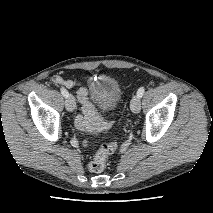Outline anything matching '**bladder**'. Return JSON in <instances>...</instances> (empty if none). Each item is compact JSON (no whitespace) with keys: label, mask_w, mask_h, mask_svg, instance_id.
I'll return each mask as SVG.
<instances>
[{"label":"bladder","mask_w":213,"mask_h":213,"mask_svg":"<svg viewBox=\"0 0 213 213\" xmlns=\"http://www.w3.org/2000/svg\"><path fill=\"white\" fill-rule=\"evenodd\" d=\"M88 87L92 100L103 109L113 108L121 100L120 84L109 75L101 74L90 78Z\"/></svg>","instance_id":"obj_1"}]
</instances>
